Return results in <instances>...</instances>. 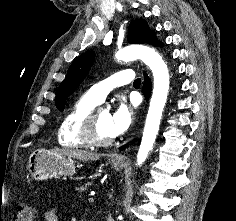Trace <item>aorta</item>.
Returning a JSON list of instances; mask_svg holds the SVG:
<instances>
[{"label": "aorta", "instance_id": "aorta-1", "mask_svg": "<svg viewBox=\"0 0 236 221\" xmlns=\"http://www.w3.org/2000/svg\"><path fill=\"white\" fill-rule=\"evenodd\" d=\"M123 61L141 59L152 71L154 88L146 118L141 144L137 153V165L141 166L152 150L159 131L163 108L169 90V73L162 57L153 48L144 45L127 46L116 53Z\"/></svg>", "mask_w": 236, "mask_h": 221}]
</instances>
